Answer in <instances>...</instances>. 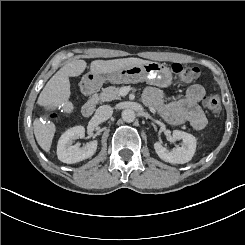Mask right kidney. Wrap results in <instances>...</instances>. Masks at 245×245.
Wrapping results in <instances>:
<instances>
[{
	"instance_id": "ca27d5eb",
	"label": "right kidney",
	"mask_w": 245,
	"mask_h": 245,
	"mask_svg": "<svg viewBox=\"0 0 245 245\" xmlns=\"http://www.w3.org/2000/svg\"><path fill=\"white\" fill-rule=\"evenodd\" d=\"M85 136V128L83 126H75L65 131L57 145L58 159L67 164L80 162L94 155L97 149V141H91L80 148V144L72 145L73 140L83 138Z\"/></svg>"
}]
</instances>
